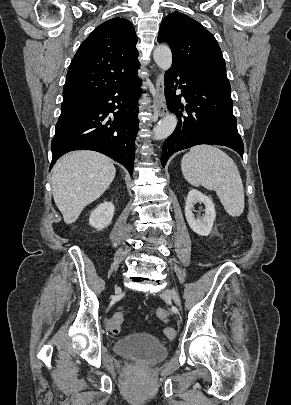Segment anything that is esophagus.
Segmentation results:
<instances>
[{"label": "esophagus", "instance_id": "esophagus-1", "mask_svg": "<svg viewBox=\"0 0 291 405\" xmlns=\"http://www.w3.org/2000/svg\"><path fill=\"white\" fill-rule=\"evenodd\" d=\"M154 110L158 116L163 117L167 114V106L164 102V79L163 75L159 74L155 79V95H154Z\"/></svg>", "mask_w": 291, "mask_h": 405}]
</instances>
